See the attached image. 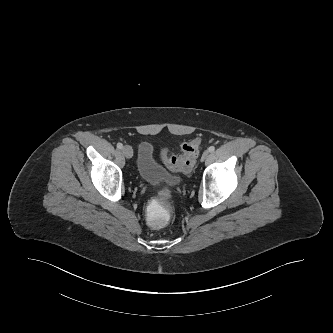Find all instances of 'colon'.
Masks as SVG:
<instances>
[{"label":"colon","instance_id":"1","mask_svg":"<svg viewBox=\"0 0 333 333\" xmlns=\"http://www.w3.org/2000/svg\"><path fill=\"white\" fill-rule=\"evenodd\" d=\"M200 140L192 139L181 146L179 155H170L168 149L161 152L162 161L172 172L188 173L192 170L199 153ZM174 198L170 191L161 189L154 193L144 210L145 223L152 230H162L171 222V206Z\"/></svg>","mask_w":333,"mask_h":333}]
</instances>
